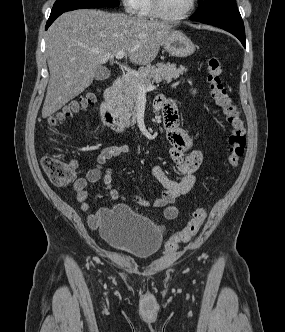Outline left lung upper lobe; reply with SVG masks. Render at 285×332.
I'll list each match as a JSON object with an SVG mask.
<instances>
[{"instance_id": "left-lung-upper-lobe-1", "label": "left lung upper lobe", "mask_w": 285, "mask_h": 332, "mask_svg": "<svg viewBox=\"0 0 285 332\" xmlns=\"http://www.w3.org/2000/svg\"><path fill=\"white\" fill-rule=\"evenodd\" d=\"M198 22H219L241 19L235 0H199V9L191 18Z\"/></svg>"}]
</instances>
